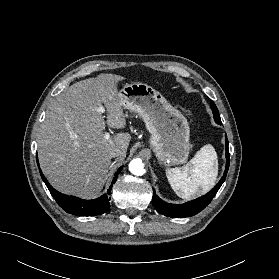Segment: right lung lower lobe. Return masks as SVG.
Masks as SVG:
<instances>
[{
	"label": "right lung lower lobe",
	"instance_id": "1",
	"mask_svg": "<svg viewBox=\"0 0 279 279\" xmlns=\"http://www.w3.org/2000/svg\"><path fill=\"white\" fill-rule=\"evenodd\" d=\"M36 160L38 163V158L36 155ZM122 166L117 170L115 174V178L111 183L110 188L108 189L107 193L101 197L94 199V200H82L74 196H68L56 191L48 182L45 176L40 171L41 177L45 182L47 188L49 189L50 193L58 203L60 207L67 213L78 215V216H93V215H100L105 213L109 208V200L110 198L108 195L111 194L112 185L115 183L118 174L121 172Z\"/></svg>",
	"mask_w": 279,
	"mask_h": 279
}]
</instances>
